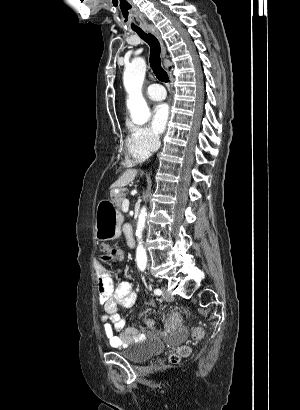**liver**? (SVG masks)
Returning a JSON list of instances; mask_svg holds the SVG:
<instances>
[{
	"instance_id": "liver-1",
	"label": "liver",
	"mask_w": 300,
	"mask_h": 410,
	"mask_svg": "<svg viewBox=\"0 0 300 410\" xmlns=\"http://www.w3.org/2000/svg\"><path fill=\"white\" fill-rule=\"evenodd\" d=\"M137 175V170L127 169L121 177L112 185V187H124L132 182ZM142 176V174H141Z\"/></svg>"
}]
</instances>
